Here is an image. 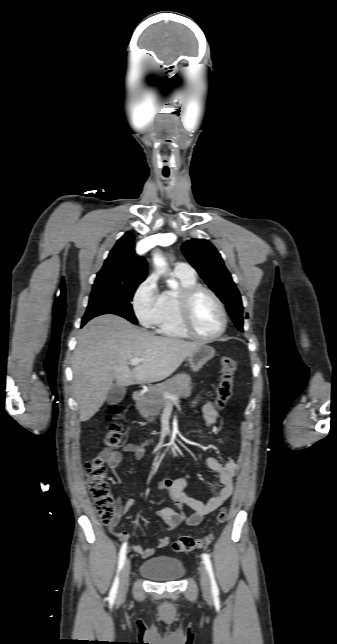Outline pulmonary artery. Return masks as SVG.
I'll return each mask as SVG.
<instances>
[{
	"label": "pulmonary artery",
	"instance_id": "1",
	"mask_svg": "<svg viewBox=\"0 0 337 644\" xmlns=\"http://www.w3.org/2000/svg\"><path fill=\"white\" fill-rule=\"evenodd\" d=\"M175 272L185 273V274H195V270L192 266L187 263H177L175 266Z\"/></svg>",
	"mask_w": 337,
	"mask_h": 644
}]
</instances>
